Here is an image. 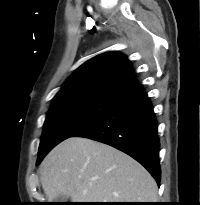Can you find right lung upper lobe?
<instances>
[{
    "label": "right lung upper lobe",
    "instance_id": "cb5924a9",
    "mask_svg": "<svg viewBox=\"0 0 200 205\" xmlns=\"http://www.w3.org/2000/svg\"><path fill=\"white\" fill-rule=\"evenodd\" d=\"M136 85L133 69L125 55L103 53L81 65L63 84L52 104L74 98L116 100Z\"/></svg>",
    "mask_w": 200,
    "mask_h": 205
}]
</instances>
